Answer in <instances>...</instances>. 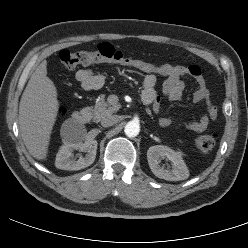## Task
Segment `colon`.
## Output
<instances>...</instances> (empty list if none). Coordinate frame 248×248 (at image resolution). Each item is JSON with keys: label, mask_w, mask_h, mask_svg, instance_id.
Here are the masks:
<instances>
[{"label": "colon", "mask_w": 248, "mask_h": 248, "mask_svg": "<svg viewBox=\"0 0 248 248\" xmlns=\"http://www.w3.org/2000/svg\"><path fill=\"white\" fill-rule=\"evenodd\" d=\"M62 66L67 70H74L79 66L98 63H115L134 68L144 74L157 73L159 65L143 59L126 56L109 43H100L93 50L72 52L62 50L59 53ZM216 134H205L196 139L197 147L203 152H210L215 146Z\"/></svg>", "instance_id": "colon-1"}]
</instances>
